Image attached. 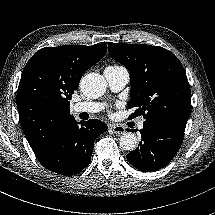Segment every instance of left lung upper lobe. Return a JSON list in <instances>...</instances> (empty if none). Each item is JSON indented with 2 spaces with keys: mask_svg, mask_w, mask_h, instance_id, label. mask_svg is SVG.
<instances>
[{
  "mask_svg": "<svg viewBox=\"0 0 215 215\" xmlns=\"http://www.w3.org/2000/svg\"><path fill=\"white\" fill-rule=\"evenodd\" d=\"M108 50L130 72L128 107L136 108L132 118H189L190 86L181 62L172 52L158 46L115 43H108Z\"/></svg>",
  "mask_w": 215,
  "mask_h": 215,
  "instance_id": "obj_1",
  "label": "left lung upper lobe"
}]
</instances>
